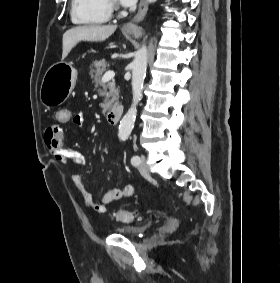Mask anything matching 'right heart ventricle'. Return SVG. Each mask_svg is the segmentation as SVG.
<instances>
[{
	"mask_svg": "<svg viewBox=\"0 0 280 283\" xmlns=\"http://www.w3.org/2000/svg\"><path fill=\"white\" fill-rule=\"evenodd\" d=\"M70 14L72 21L80 25L102 24L110 18L105 0H71Z\"/></svg>",
	"mask_w": 280,
	"mask_h": 283,
	"instance_id": "obj_1",
	"label": "right heart ventricle"
}]
</instances>
